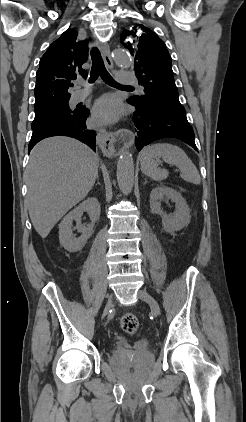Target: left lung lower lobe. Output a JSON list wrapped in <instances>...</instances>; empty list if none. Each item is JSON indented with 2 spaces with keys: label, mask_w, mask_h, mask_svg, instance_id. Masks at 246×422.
<instances>
[{
  "label": "left lung lower lobe",
  "mask_w": 246,
  "mask_h": 422,
  "mask_svg": "<svg viewBox=\"0 0 246 422\" xmlns=\"http://www.w3.org/2000/svg\"><path fill=\"white\" fill-rule=\"evenodd\" d=\"M136 109L132 119L137 131L135 144L138 151L161 138H177L197 151L194 131L187 120L186 113L168 111L158 107H136Z\"/></svg>",
  "instance_id": "0a47b994"
}]
</instances>
